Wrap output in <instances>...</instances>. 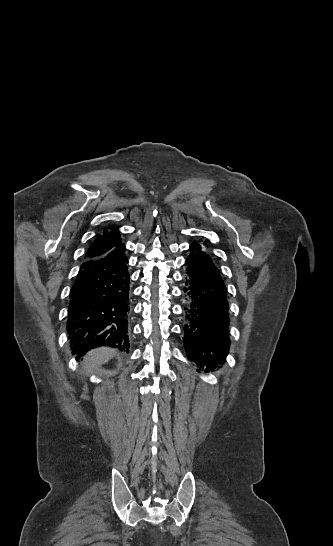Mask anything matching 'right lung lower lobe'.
Returning <instances> with one entry per match:
<instances>
[{
	"mask_svg": "<svg viewBox=\"0 0 333 546\" xmlns=\"http://www.w3.org/2000/svg\"><path fill=\"white\" fill-rule=\"evenodd\" d=\"M124 244L86 259L70 291L67 332L77 359L89 350L129 348L130 275Z\"/></svg>",
	"mask_w": 333,
	"mask_h": 546,
	"instance_id": "1",
	"label": "right lung lower lobe"
}]
</instances>
